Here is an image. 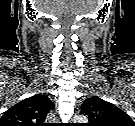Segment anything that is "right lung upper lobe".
Masks as SVG:
<instances>
[{"label":"right lung upper lobe","instance_id":"cb5924a9","mask_svg":"<svg viewBox=\"0 0 135 126\" xmlns=\"http://www.w3.org/2000/svg\"><path fill=\"white\" fill-rule=\"evenodd\" d=\"M54 108L45 95H34L9 108L0 118V126H42Z\"/></svg>","mask_w":135,"mask_h":126}]
</instances>
